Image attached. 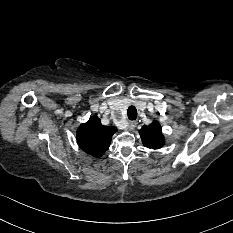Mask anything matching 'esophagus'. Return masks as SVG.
Masks as SVG:
<instances>
[{"label": "esophagus", "mask_w": 233, "mask_h": 233, "mask_svg": "<svg viewBox=\"0 0 233 233\" xmlns=\"http://www.w3.org/2000/svg\"><path fill=\"white\" fill-rule=\"evenodd\" d=\"M136 125H137V122H136V121H130V122L128 123V129H129V130H133V129L136 127Z\"/></svg>", "instance_id": "obj_1"}]
</instances>
